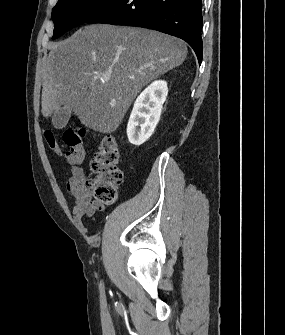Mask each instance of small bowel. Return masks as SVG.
<instances>
[{
	"label": "small bowel",
	"instance_id": "1",
	"mask_svg": "<svg viewBox=\"0 0 285 335\" xmlns=\"http://www.w3.org/2000/svg\"><path fill=\"white\" fill-rule=\"evenodd\" d=\"M67 190L75 200L72 209L74 220L81 230L84 227V218H90L95 213L104 210L105 206L93 199L89 179L81 168L72 169V174L67 182Z\"/></svg>",
	"mask_w": 285,
	"mask_h": 335
}]
</instances>
